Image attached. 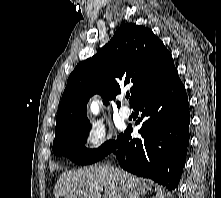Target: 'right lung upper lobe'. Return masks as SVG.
Returning <instances> with one entry per match:
<instances>
[{"label":"right lung upper lobe","mask_w":221,"mask_h":198,"mask_svg":"<svg viewBox=\"0 0 221 198\" xmlns=\"http://www.w3.org/2000/svg\"><path fill=\"white\" fill-rule=\"evenodd\" d=\"M175 71L170 52L150 29L122 25L107 45L70 74L57 112L55 137L89 124L87 102L94 94H100L107 105V100L121 93V86L133 84L130 104L134 108Z\"/></svg>","instance_id":"obj_1"}]
</instances>
